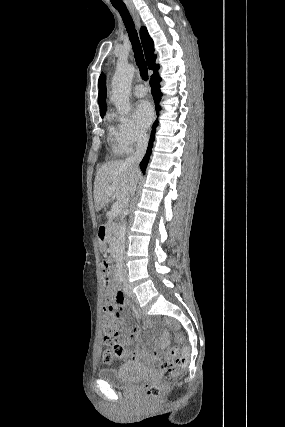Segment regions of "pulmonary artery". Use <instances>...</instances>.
Segmentation results:
<instances>
[{
	"mask_svg": "<svg viewBox=\"0 0 285 427\" xmlns=\"http://www.w3.org/2000/svg\"><path fill=\"white\" fill-rule=\"evenodd\" d=\"M147 94V89L142 84H137L133 88V95L136 97H144Z\"/></svg>",
	"mask_w": 285,
	"mask_h": 427,
	"instance_id": "obj_1",
	"label": "pulmonary artery"
}]
</instances>
